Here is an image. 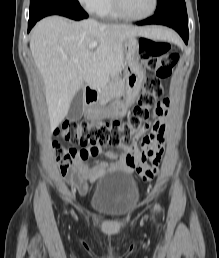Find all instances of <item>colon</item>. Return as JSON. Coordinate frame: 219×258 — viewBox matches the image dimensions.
Instances as JSON below:
<instances>
[{"mask_svg": "<svg viewBox=\"0 0 219 258\" xmlns=\"http://www.w3.org/2000/svg\"><path fill=\"white\" fill-rule=\"evenodd\" d=\"M140 57L145 66L152 72L146 79L137 102L124 121L65 122L55 134L61 136L73 146L90 147L89 155H96L98 147H117L127 144L142 131L153 117V108L163 96L161 80L168 78L179 60V55L171 51L170 44L143 38L139 42ZM55 156L65 174L71 163L81 154L74 148H68L55 142Z\"/></svg>", "mask_w": 219, "mask_h": 258, "instance_id": "1", "label": "colon"}]
</instances>
